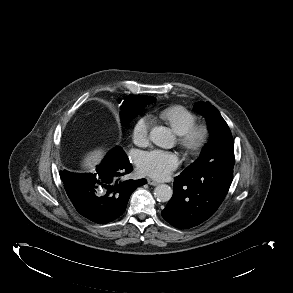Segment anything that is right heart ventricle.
<instances>
[{"instance_id":"e07e8e85","label":"right heart ventricle","mask_w":293,"mask_h":293,"mask_svg":"<svg viewBox=\"0 0 293 293\" xmlns=\"http://www.w3.org/2000/svg\"><path fill=\"white\" fill-rule=\"evenodd\" d=\"M160 117L178 134H184L197 123V117L191 111L180 105L163 109Z\"/></svg>"}]
</instances>
